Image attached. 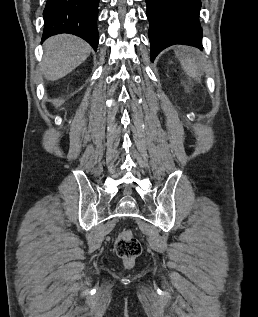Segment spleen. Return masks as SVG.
<instances>
[{
    "mask_svg": "<svg viewBox=\"0 0 258 317\" xmlns=\"http://www.w3.org/2000/svg\"><path fill=\"white\" fill-rule=\"evenodd\" d=\"M175 52L187 74L192 76V78H196V80H200L198 78L199 72V62L196 58V52L193 48H183V46H176Z\"/></svg>",
    "mask_w": 258,
    "mask_h": 317,
    "instance_id": "obj_1",
    "label": "spleen"
}]
</instances>
